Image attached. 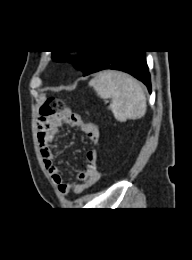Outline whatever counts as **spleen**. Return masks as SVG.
<instances>
[{
	"mask_svg": "<svg viewBox=\"0 0 192 260\" xmlns=\"http://www.w3.org/2000/svg\"><path fill=\"white\" fill-rule=\"evenodd\" d=\"M102 99H111L109 109L117 121L142 118L147 109L143 87L135 78L118 71L98 73L89 83Z\"/></svg>",
	"mask_w": 192,
	"mask_h": 260,
	"instance_id": "3e777b00",
	"label": "spleen"
}]
</instances>
